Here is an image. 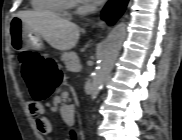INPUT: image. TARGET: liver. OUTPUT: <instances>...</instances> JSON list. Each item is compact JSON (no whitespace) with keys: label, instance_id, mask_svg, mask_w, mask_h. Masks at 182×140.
Returning a JSON list of instances; mask_svg holds the SVG:
<instances>
[{"label":"liver","instance_id":"6515ba94","mask_svg":"<svg viewBox=\"0 0 182 140\" xmlns=\"http://www.w3.org/2000/svg\"><path fill=\"white\" fill-rule=\"evenodd\" d=\"M27 27L59 51L72 49L78 42L79 27L52 13L21 12L18 14Z\"/></svg>","mask_w":182,"mask_h":140}]
</instances>
